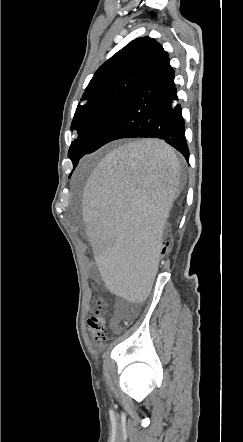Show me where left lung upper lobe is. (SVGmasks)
<instances>
[{"label":"left lung upper lobe","mask_w":243,"mask_h":442,"mask_svg":"<svg viewBox=\"0 0 243 442\" xmlns=\"http://www.w3.org/2000/svg\"><path fill=\"white\" fill-rule=\"evenodd\" d=\"M165 53L150 37L137 38L107 60L94 74L78 105L71 130L77 138L68 157L74 168L93 145L117 107L144 80Z\"/></svg>","instance_id":"1"}]
</instances>
